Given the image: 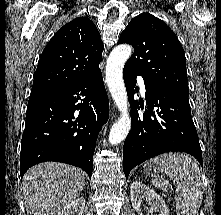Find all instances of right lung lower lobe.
Here are the masks:
<instances>
[{
	"label": "right lung lower lobe",
	"instance_id": "1",
	"mask_svg": "<svg viewBox=\"0 0 221 215\" xmlns=\"http://www.w3.org/2000/svg\"><path fill=\"white\" fill-rule=\"evenodd\" d=\"M108 114L99 67L56 90L30 96L21 141V177L45 161L80 167L91 177L96 140Z\"/></svg>",
	"mask_w": 221,
	"mask_h": 215
}]
</instances>
